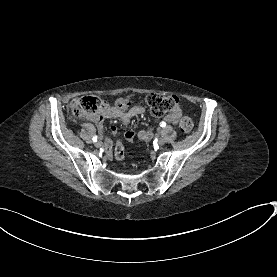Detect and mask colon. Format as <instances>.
Listing matches in <instances>:
<instances>
[{
    "label": "colon",
    "instance_id": "1",
    "mask_svg": "<svg viewBox=\"0 0 277 277\" xmlns=\"http://www.w3.org/2000/svg\"><path fill=\"white\" fill-rule=\"evenodd\" d=\"M145 103L150 112L155 117H161L168 113L175 112L179 107L178 101L174 96L163 95L161 93H149L145 97ZM130 99L124 97L117 100V108L125 111L130 107ZM73 108H81L85 114L99 115L103 113L105 104L96 94H87L82 100L73 99L71 102ZM193 127L192 120L189 117H181L179 129L183 133H190ZM114 156L117 161L125 159L124 147L121 143L117 144L114 149Z\"/></svg>",
    "mask_w": 277,
    "mask_h": 277
}]
</instances>
